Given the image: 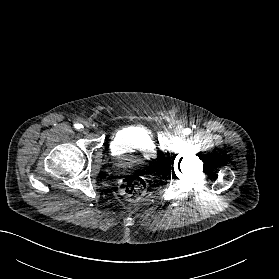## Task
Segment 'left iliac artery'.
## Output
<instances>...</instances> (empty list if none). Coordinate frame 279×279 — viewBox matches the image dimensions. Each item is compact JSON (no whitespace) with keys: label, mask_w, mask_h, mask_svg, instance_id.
I'll return each instance as SVG.
<instances>
[{"label":"left iliac artery","mask_w":279,"mask_h":279,"mask_svg":"<svg viewBox=\"0 0 279 279\" xmlns=\"http://www.w3.org/2000/svg\"><path fill=\"white\" fill-rule=\"evenodd\" d=\"M191 133V129L190 128H186L184 131L185 135H189Z\"/></svg>","instance_id":"1"}]
</instances>
